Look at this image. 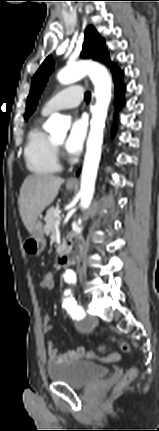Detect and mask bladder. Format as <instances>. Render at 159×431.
I'll return each instance as SVG.
<instances>
[{"label": "bladder", "mask_w": 159, "mask_h": 431, "mask_svg": "<svg viewBox=\"0 0 159 431\" xmlns=\"http://www.w3.org/2000/svg\"><path fill=\"white\" fill-rule=\"evenodd\" d=\"M110 374L107 366L88 360L68 363H49L46 375L50 382L65 384L72 388H82L97 382Z\"/></svg>", "instance_id": "obj_1"}]
</instances>
